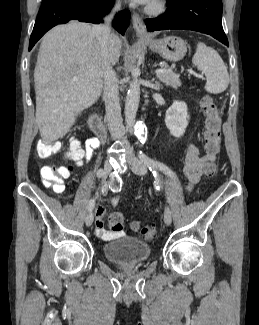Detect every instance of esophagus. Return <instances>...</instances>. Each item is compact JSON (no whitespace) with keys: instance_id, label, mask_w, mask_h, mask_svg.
I'll use <instances>...</instances> for the list:
<instances>
[{"instance_id":"obj_1","label":"esophagus","mask_w":259,"mask_h":325,"mask_svg":"<svg viewBox=\"0 0 259 325\" xmlns=\"http://www.w3.org/2000/svg\"><path fill=\"white\" fill-rule=\"evenodd\" d=\"M132 25L140 37L146 39L150 38L149 34L146 31L142 18L136 13L132 15Z\"/></svg>"}]
</instances>
